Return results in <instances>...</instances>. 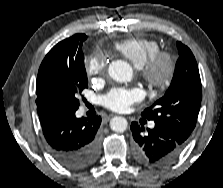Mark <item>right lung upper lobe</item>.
Listing matches in <instances>:
<instances>
[{
	"mask_svg": "<svg viewBox=\"0 0 223 188\" xmlns=\"http://www.w3.org/2000/svg\"><path fill=\"white\" fill-rule=\"evenodd\" d=\"M79 34H75L72 37L65 39L55 45L50 52L47 54L48 56H52L53 54L60 52V53H69L72 49V44L75 38H77Z\"/></svg>",
	"mask_w": 223,
	"mask_h": 188,
	"instance_id": "cb5924a9",
	"label": "right lung upper lobe"
}]
</instances>
